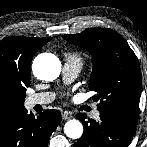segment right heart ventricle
Returning a JSON list of instances; mask_svg holds the SVG:
<instances>
[{"instance_id": "obj_1", "label": "right heart ventricle", "mask_w": 147, "mask_h": 147, "mask_svg": "<svg viewBox=\"0 0 147 147\" xmlns=\"http://www.w3.org/2000/svg\"><path fill=\"white\" fill-rule=\"evenodd\" d=\"M68 58L79 59L76 55H69Z\"/></svg>"}]
</instances>
